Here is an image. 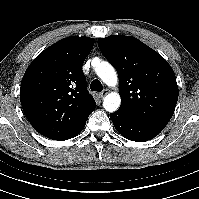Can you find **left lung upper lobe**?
<instances>
[{
	"instance_id": "obj_1",
	"label": "left lung upper lobe",
	"mask_w": 199,
	"mask_h": 199,
	"mask_svg": "<svg viewBox=\"0 0 199 199\" xmlns=\"http://www.w3.org/2000/svg\"><path fill=\"white\" fill-rule=\"evenodd\" d=\"M98 46L118 72L119 109L136 119L164 128L178 100L175 74L168 62L131 36L100 38Z\"/></svg>"
}]
</instances>
